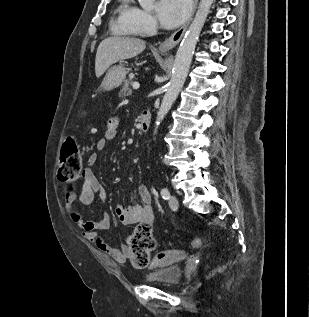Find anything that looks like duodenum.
Returning <instances> with one entry per match:
<instances>
[{
    "mask_svg": "<svg viewBox=\"0 0 309 317\" xmlns=\"http://www.w3.org/2000/svg\"><path fill=\"white\" fill-rule=\"evenodd\" d=\"M151 123V115L148 110H144L141 112L138 120V129L141 132H146L149 129Z\"/></svg>",
    "mask_w": 309,
    "mask_h": 317,
    "instance_id": "410a0bca",
    "label": "duodenum"
}]
</instances>
